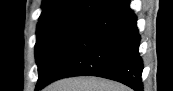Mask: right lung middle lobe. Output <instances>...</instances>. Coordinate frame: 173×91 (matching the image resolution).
Here are the masks:
<instances>
[{"mask_svg":"<svg viewBox=\"0 0 173 91\" xmlns=\"http://www.w3.org/2000/svg\"><path fill=\"white\" fill-rule=\"evenodd\" d=\"M112 5L110 0L103 1ZM86 20H66L37 26V42L35 56L39 78L37 84L43 82L51 73L53 66L71 42Z\"/></svg>","mask_w":173,"mask_h":91,"instance_id":"1","label":"right lung middle lobe"}]
</instances>
